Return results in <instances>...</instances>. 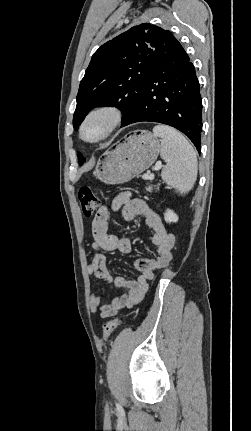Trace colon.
<instances>
[{
    "label": "colon",
    "mask_w": 251,
    "mask_h": 431,
    "mask_svg": "<svg viewBox=\"0 0 251 431\" xmlns=\"http://www.w3.org/2000/svg\"><path fill=\"white\" fill-rule=\"evenodd\" d=\"M78 199L80 202L82 213L85 217L89 218L93 215L97 207L99 206V199L95 196L91 188L82 186L78 190ZM120 318L116 317L108 321L103 327V338L108 340L110 335L114 332L117 326L120 324Z\"/></svg>",
    "instance_id": "1"
}]
</instances>
